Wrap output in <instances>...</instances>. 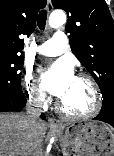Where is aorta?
I'll return each mask as SVG.
<instances>
[{
  "mask_svg": "<svg viewBox=\"0 0 114 156\" xmlns=\"http://www.w3.org/2000/svg\"><path fill=\"white\" fill-rule=\"evenodd\" d=\"M66 22V15L63 11L57 10L54 11L49 18V25L52 28H58L64 25Z\"/></svg>",
  "mask_w": 114,
  "mask_h": 156,
  "instance_id": "1",
  "label": "aorta"
}]
</instances>
